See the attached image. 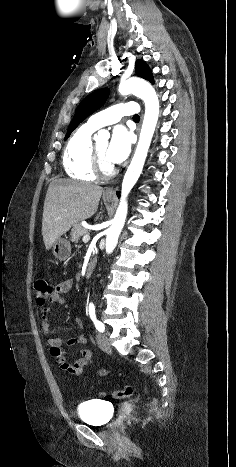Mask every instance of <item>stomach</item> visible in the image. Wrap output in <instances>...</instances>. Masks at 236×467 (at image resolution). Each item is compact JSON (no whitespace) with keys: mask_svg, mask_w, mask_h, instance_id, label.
I'll return each mask as SVG.
<instances>
[{"mask_svg":"<svg viewBox=\"0 0 236 467\" xmlns=\"http://www.w3.org/2000/svg\"><path fill=\"white\" fill-rule=\"evenodd\" d=\"M106 202L112 201L111 197L104 196ZM53 255L60 261H65L71 254L70 242L64 238H58L52 245Z\"/></svg>","mask_w":236,"mask_h":467,"instance_id":"1","label":"stomach"}]
</instances>
